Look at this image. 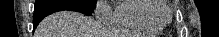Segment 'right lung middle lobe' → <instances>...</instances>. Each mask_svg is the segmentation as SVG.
<instances>
[{
	"mask_svg": "<svg viewBox=\"0 0 219 37\" xmlns=\"http://www.w3.org/2000/svg\"><path fill=\"white\" fill-rule=\"evenodd\" d=\"M54 2H68L80 6L81 8L93 13L96 0H70V1H54V0H36L35 7L44 6Z\"/></svg>",
	"mask_w": 219,
	"mask_h": 37,
	"instance_id": "dd1d6c3e",
	"label": "right lung middle lobe"
}]
</instances>
